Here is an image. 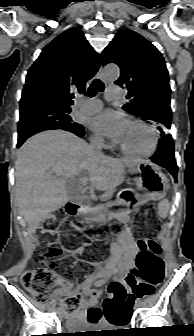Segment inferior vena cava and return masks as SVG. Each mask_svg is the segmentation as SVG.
<instances>
[{
    "mask_svg": "<svg viewBox=\"0 0 194 336\" xmlns=\"http://www.w3.org/2000/svg\"><path fill=\"white\" fill-rule=\"evenodd\" d=\"M90 147L94 149L97 153L103 154L101 140H95L90 144Z\"/></svg>",
    "mask_w": 194,
    "mask_h": 336,
    "instance_id": "obj_1",
    "label": "inferior vena cava"
}]
</instances>
